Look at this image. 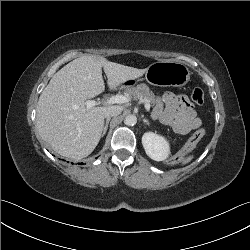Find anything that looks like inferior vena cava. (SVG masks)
<instances>
[{
	"label": "inferior vena cava",
	"mask_w": 250,
	"mask_h": 250,
	"mask_svg": "<svg viewBox=\"0 0 250 250\" xmlns=\"http://www.w3.org/2000/svg\"><path fill=\"white\" fill-rule=\"evenodd\" d=\"M122 112V107L120 106H110L108 110L105 112L106 118H111L113 116H117Z\"/></svg>",
	"instance_id": "1"
}]
</instances>
